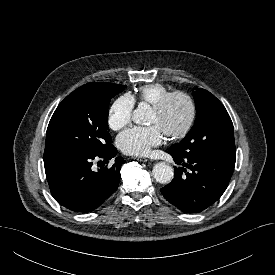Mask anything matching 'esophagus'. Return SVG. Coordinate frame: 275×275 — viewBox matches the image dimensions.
Masks as SVG:
<instances>
[{"label":"esophagus","instance_id":"1","mask_svg":"<svg viewBox=\"0 0 275 275\" xmlns=\"http://www.w3.org/2000/svg\"><path fill=\"white\" fill-rule=\"evenodd\" d=\"M136 160L141 161V162H147L149 159L146 157H134Z\"/></svg>","mask_w":275,"mask_h":275}]
</instances>
